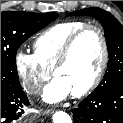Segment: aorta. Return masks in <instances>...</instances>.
<instances>
[{"label":"aorta","instance_id":"aorta-1","mask_svg":"<svg viewBox=\"0 0 123 123\" xmlns=\"http://www.w3.org/2000/svg\"><path fill=\"white\" fill-rule=\"evenodd\" d=\"M52 119L53 123H72L71 117L63 111L55 112Z\"/></svg>","mask_w":123,"mask_h":123}]
</instances>
